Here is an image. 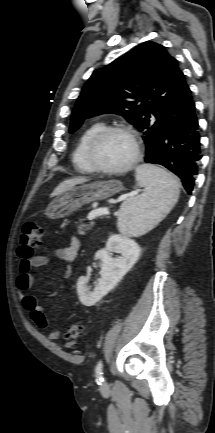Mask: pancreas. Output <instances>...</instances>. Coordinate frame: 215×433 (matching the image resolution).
<instances>
[{"mask_svg":"<svg viewBox=\"0 0 215 433\" xmlns=\"http://www.w3.org/2000/svg\"><path fill=\"white\" fill-rule=\"evenodd\" d=\"M92 226L93 223H82L80 221V224L77 226V228L80 234H84L86 231L90 230Z\"/></svg>","mask_w":215,"mask_h":433,"instance_id":"obj_1","label":"pancreas"}]
</instances>
